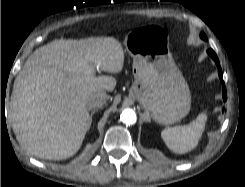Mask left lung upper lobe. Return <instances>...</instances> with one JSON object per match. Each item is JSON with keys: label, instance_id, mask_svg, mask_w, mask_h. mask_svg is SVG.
<instances>
[{"label": "left lung upper lobe", "instance_id": "1", "mask_svg": "<svg viewBox=\"0 0 245 187\" xmlns=\"http://www.w3.org/2000/svg\"><path fill=\"white\" fill-rule=\"evenodd\" d=\"M201 38L207 40L206 35L204 33H201Z\"/></svg>", "mask_w": 245, "mask_h": 187}]
</instances>
